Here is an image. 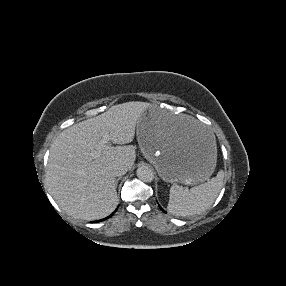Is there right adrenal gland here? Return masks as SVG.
<instances>
[{
	"label": "right adrenal gland",
	"instance_id": "1",
	"mask_svg": "<svg viewBox=\"0 0 286 286\" xmlns=\"http://www.w3.org/2000/svg\"><path fill=\"white\" fill-rule=\"evenodd\" d=\"M120 179H121V178L116 179V185H117V183H118V181H119Z\"/></svg>",
	"mask_w": 286,
	"mask_h": 286
}]
</instances>
